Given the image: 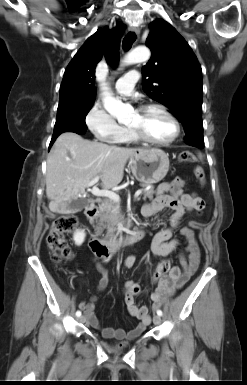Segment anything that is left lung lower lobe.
I'll list each match as a JSON object with an SVG mask.
<instances>
[{
  "mask_svg": "<svg viewBox=\"0 0 247 385\" xmlns=\"http://www.w3.org/2000/svg\"><path fill=\"white\" fill-rule=\"evenodd\" d=\"M185 135V140L188 144L199 148L204 147L203 132H190Z\"/></svg>",
  "mask_w": 247,
  "mask_h": 385,
  "instance_id": "obj_1",
  "label": "left lung lower lobe"
}]
</instances>
